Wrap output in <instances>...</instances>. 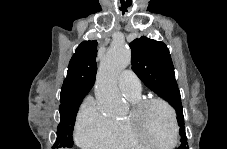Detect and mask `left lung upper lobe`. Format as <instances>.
<instances>
[{
  "mask_svg": "<svg viewBox=\"0 0 227 149\" xmlns=\"http://www.w3.org/2000/svg\"><path fill=\"white\" fill-rule=\"evenodd\" d=\"M132 69L142 82L174 107L180 128L181 145L186 147L187 137L180 91L175 80L174 66L167 46L160 41L142 36L130 44Z\"/></svg>",
  "mask_w": 227,
  "mask_h": 149,
  "instance_id": "5c2ea615",
  "label": "left lung upper lobe"
}]
</instances>
